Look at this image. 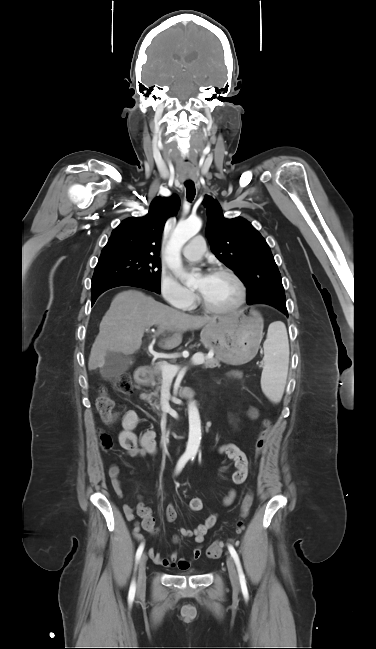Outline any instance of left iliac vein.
<instances>
[{
	"instance_id": "obj_1",
	"label": "left iliac vein",
	"mask_w": 376,
	"mask_h": 649,
	"mask_svg": "<svg viewBox=\"0 0 376 649\" xmlns=\"http://www.w3.org/2000/svg\"><path fill=\"white\" fill-rule=\"evenodd\" d=\"M226 563H227L228 573H229V577H230V581L232 583V586L235 589L239 590L240 589V582H239V578H238V575H237V571H236V568H235L234 561H233L231 556L227 557Z\"/></svg>"
}]
</instances>
